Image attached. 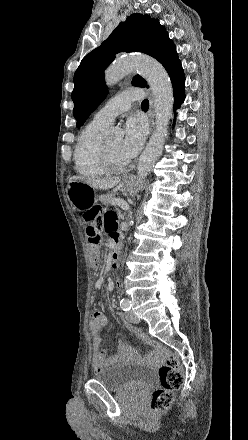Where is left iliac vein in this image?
Listing matches in <instances>:
<instances>
[{"label": "left iliac vein", "mask_w": 248, "mask_h": 440, "mask_svg": "<svg viewBox=\"0 0 248 440\" xmlns=\"http://www.w3.org/2000/svg\"><path fill=\"white\" fill-rule=\"evenodd\" d=\"M126 319L131 323H139L140 319L136 316L133 311H129L126 313Z\"/></svg>", "instance_id": "left-iliac-vein-1"}]
</instances>
